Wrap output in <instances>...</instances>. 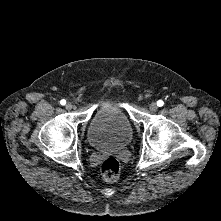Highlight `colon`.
I'll return each instance as SVG.
<instances>
[{"mask_svg": "<svg viewBox=\"0 0 221 221\" xmlns=\"http://www.w3.org/2000/svg\"><path fill=\"white\" fill-rule=\"evenodd\" d=\"M120 174V163L113 156L106 157L101 164V175L109 182H114Z\"/></svg>", "mask_w": 221, "mask_h": 221, "instance_id": "1", "label": "colon"}]
</instances>
